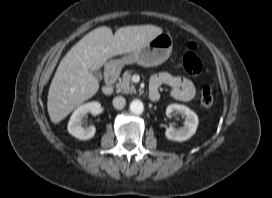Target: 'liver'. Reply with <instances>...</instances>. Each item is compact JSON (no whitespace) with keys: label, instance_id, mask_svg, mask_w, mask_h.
I'll return each instance as SVG.
<instances>
[{"label":"liver","instance_id":"liver-1","mask_svg":"<svg viewBox=\"0 0 272 198\" xmlns=\"http://www.w3.org/2000/svg\"><path fill=\"white\" fill-rule=\"evenodd\" d=\"M163 30L154 25L126 26L113 35L109 27H98L86 34L62 58L52 79L47 108L51 121L61 122L84 101L94 96L99 81L91 70H99L116 55L146 46Z\"/></svg>","mask_w":272,"mask_h":198}]
</instances>
